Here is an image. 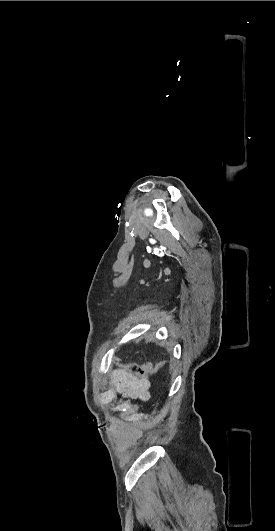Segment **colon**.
<instances>
[{"instance_id": "obj_1", "label": "colon", "mask_w": 275, "mask_h": 531, "mask_svg": "<svg viewBox=\"0 0 275 531\" xmlns=\"http://www.w3.org/2000/svg\"><path fill=\"white\" fill-rule=\"evenodd\" d=\"M117 364L130 373L147 376L161 370L165 364L162 361L138 364L136 362L117 361Z\"/></svg>"}]
</instances>
